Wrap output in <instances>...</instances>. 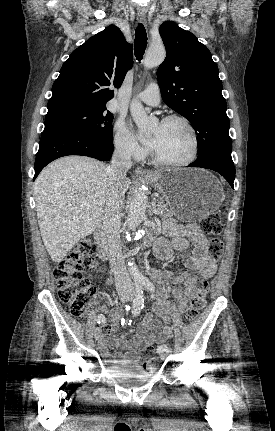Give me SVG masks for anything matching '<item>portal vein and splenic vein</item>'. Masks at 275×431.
Instances as JSON below:
<instances>
[{"mask_svg": "<svg viewBox=\"0 0 275 431\" xmlns=\"http://www.w3.org/2000/svg\"><path fill=\"white\" fill-rule=\"evenodd\" d=\"M154 213H155L156 215H159V214H161L162 212H161L159 209H156V210H154Z\"/></svg>", "mask_w": 275, "mask_h": 431, "instance_id": "portal-vein-and-splenic-vein-1", "label": "portal vein and splenic vein"}]
</instances>
